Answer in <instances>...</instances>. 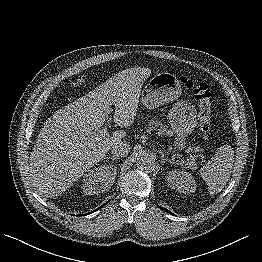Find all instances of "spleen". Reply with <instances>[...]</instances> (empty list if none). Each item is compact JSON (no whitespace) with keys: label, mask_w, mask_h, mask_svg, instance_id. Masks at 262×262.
Segmentation results:
<instances>
[{"label":"spleen","mask_w":262,"mask_h":262,"mask_svg":"<svg viewBox=\"0 0 262 262\" xmlns=\"http://www.w3.org/2000/svg\"><path fill=\"white\" fill-rule=\"evenodd\" d=\"M234 163V151L231 146H221L211 161L200 169L203 180L211 193L221 191L230 178Z\"/></svg>","instance_id":"3e777b00"}]
</instances>
